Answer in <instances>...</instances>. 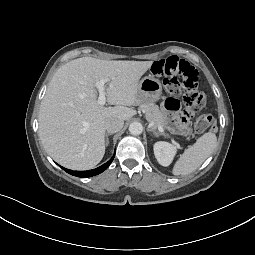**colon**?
<instances>
[{
	"instance_id": "1",
	"label": "colon",
	"mask_w": 255,
	"mask_h": 255,
	"mask_svg": "<svg viewBox=\"0 0 255 255\" xmlns=\"http://www.w3.org/2000/svg\"><path fill=\"white\" fill-rule=\"evenodd\" d=\"M156 76L164 77V85L171 95H182L184 101L183 116L190 117L195 110L201 109L206 101L205 94L200 89L198 73L187 61L172 56L156 61L152 66ZM214 116L204 113L198 116L194 123L196 132L202 133L214 128Z\"/></svg>"
}]
</instances>
